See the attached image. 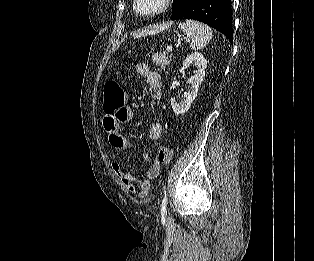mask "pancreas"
I'll list each match as a JSON object with an SVG mask.
<instances>
[{
    "label": "pancreas",
    "instance_id": "obj_1",
    "mask_svg": "<svg viewBox=\"0 0 314 261\" xmlns=\"http://www.w3.org/2000/svg\"><path fill=\"white\" fill-rule=\"evenodd\" d=\"M152 60L156 66L160 67L162 70H165L166 67L170 64L171 55L166 53H156L152 56Z\"/></svg>",
    "mask_w": 314,
    "mask_h": 261
}]
</instances>
